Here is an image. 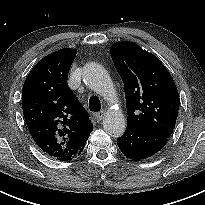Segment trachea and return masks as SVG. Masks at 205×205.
Returning <instances> with one entry per match:
<instances>
[{"label": "trachea", "mask_w": 205, "mask_h": 205, "mask_svg": "<svg viewBox=\"0 0 205 205\" xmlns=\"http://www.w3.org/2000/svg\"><path fill=\"white\" fill-rule=\"evenodd\" d=\"M89 108L91 111H100L101 103L100 100L96 96H91L89 99Z\"/></svg>", "instance_id": "trachea-1"}]
</instances>
